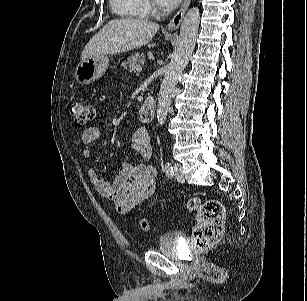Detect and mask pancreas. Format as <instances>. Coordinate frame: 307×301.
<instances>
[{
	"label": "pancreas",
	"mask_w": 307,
	"mask_h": 301,
	"mask_svg": "<svg viewBox=\"0 0 307 301\" xmlns=\"http://www.w3.org/2000/svg\"><path fill=\"white\" fill-rule=\"evenodd\" d=\"M145 62V56L142 53H136L135 55L128 58V61L124 63V67L128 68L130 72L136 70V68Z\"/></svg>",
	"instance_id": "pancreas-1"
}]
</instances>
